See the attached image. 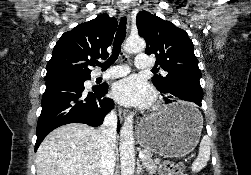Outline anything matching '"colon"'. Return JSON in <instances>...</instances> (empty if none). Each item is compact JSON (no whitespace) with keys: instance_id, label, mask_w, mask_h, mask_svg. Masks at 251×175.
Segmentation results:
<instances>
[{"instance_id":"colon-1","label":"colon","mask_w":251,"mask_h":175,"mask_svg":"<svg viewBox=\"0 0 251 175\" xmlns=\"http://www.w3.org/2000/svg\"><path fill=\"white\" fill-rule=\"evenodd\" d=\"M160 175H187L183 162L165 161L159 166Z\"/></svg>"}]
</instances>
